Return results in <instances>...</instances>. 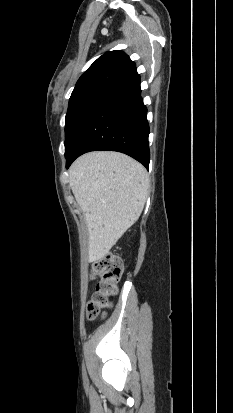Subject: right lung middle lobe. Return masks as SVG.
Masks as SVG:
<instances>
[{"label":"right lung middle lobe","mask_w":233,"mask_h":413,"mask_svg":"<svg viewBox=\"0 0 233 413\" xmlns=\"http://www.w3.org/2000/svg\"><path fill=\"white\" fill-rule=\"evenodd\" d=\"M116 80L99 79L75 89L69 100L65 124V156L70 152L91 112Z\"/></svg>","instance_id":"1"}]
</instances>
